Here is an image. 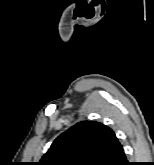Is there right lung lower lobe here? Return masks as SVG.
I'll return each instance as SVG.
<instances>
[{"label":"right lung lower lobe","mask_w":154,"mask_h":165,"mask_svg":"<svg viewBox=\"0 0 154 165\" xmlns=\"http://www.w3.org/2000/svg\"><path fill=\"white\" fill-rule=\"evenodd\" d=\"M109 165H130V163L126 160L125 153L121 145L119 146L118 153Z\"/></svg>","instance_id":"right-lung-lower-lobe-1"}]
</instances>
